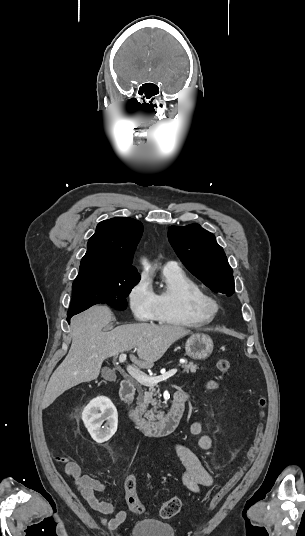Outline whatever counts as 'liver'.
I'll list each match as a JSON object with an SVG mask.
<instances>
[{"label": "liver", "mask_w": 305, "mask_h": 536, "mask_svg": "<svg viewBox=\"0 0 305 536\" xmlns=\"http://www.w3.org/2000/svg\"><path fill=\"white\" fill-rule=\"evenodd\" d=\"M111 320L112 312L107 306H93L72 318L71 348L47 384L42 408H48L73 386L96 380L106 358L137 348L139 360L130 356L131 362L138 368H153L171 344L190 334V330L181 326L156 324H125L111 332H102Z\"/></svg>", "instance_id": "obj_1"}]
</instances>
